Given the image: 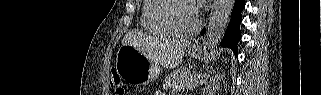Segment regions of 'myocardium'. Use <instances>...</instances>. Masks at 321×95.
Listing matches in <instances>:
<instances>
[{
  "label": "myocardium",
  "instance_id": "myocardium-1",
  "mask_svg": "<svg viewBox=\"0 0 321 95\" xmlns=\"http://www.w3.org/2000/svg\"><path fill=\"white\" fill-rule=\"evenodd\" d=\"M178 2H184L194 7V4L189 0H162L161 5L158 7L156 12L157 20L170 34L179 36V37H187L198 31V29L201 26V17L198 11H195L196 22L192 28L188 30H180L176 28L168 18V11L172 4L178 3Z\"/></svg>",
  "mask_w": 321,
  "mask_h": 95
}]
</instances>
